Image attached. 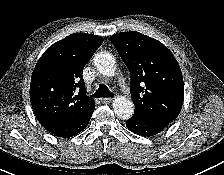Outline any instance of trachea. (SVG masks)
<instances>
[{
    "label": "trachea",
    "instance_id": "trachea-1",
    "mask_svg": "<svg viewBox=\"0 0 224 175\" xmlns=\"http://www.w3.org/2000/svg\"><path fill=\"white\" fill-rule=\"evenodd\" d=\"M92 96L95 98L114 97V95L109 91V89L104 84H100L98 90Z\"/></svg>",
    "mask_w": 224,
    "mask_h": 175
}]
</instances>
